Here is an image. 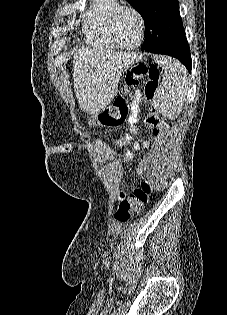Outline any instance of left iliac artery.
Returning a JSON list of instances; mask_svg holds the SVG:
<instances>
[{"label":"left iliac artery","instance_id":"left-iliac-artery-1","mask_svg":"<svg viewBox=\"0 0 227 315\" xmlns=\"http://www.w3.org/2000/svg\"><path fill=\"white\" fill-rule=\"evenodd\" d=\"M110 266V262L108 261V263H107V267H109Z\"/></svg>","mask_w":227,"mask_h":315}]
</instances>
